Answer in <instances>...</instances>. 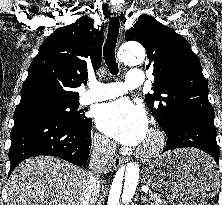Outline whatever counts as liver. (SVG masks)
Returning <instances> with one entry per match:
<instances>
[{
	"mask_svg": "<svg viewBox=\"0 0 222 205\" xmlns=\"http://www.w3.org/2000/svg\"><path fill=\"white\" fill-rule=\"evenodd\" d=\"M89 173L52 156H35L10 175L7 205H80Z\"/></svg>",
	"mask_w": 222,
	"mask_h": 205,
	"instance_id": "6515ba94",
	"label": "liver"
}]
</instances>
